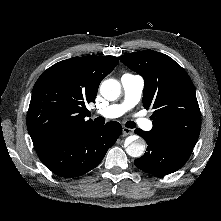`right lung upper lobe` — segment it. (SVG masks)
I'll list each match as a JSON object with an SVG mask.
<instances>
[{
	"instance_id": "obj_1",
	"label": "right lung upper lobe",
	"mask_w": 221,
	"mask_h": 221,
	"mask_svg": "<svg viewBox=\"0 0 221 221\" xmlns=\"http://www.w3.org/2000/svg\"><path fill=\"white\" fill-rule=\"evenodd\" d=\"M118 64L117 57L84 56L58 62L36 81L27 113L35 149L67 133L95 123L86 120L100 82Z\"/></svg>"
}]
</instances>
